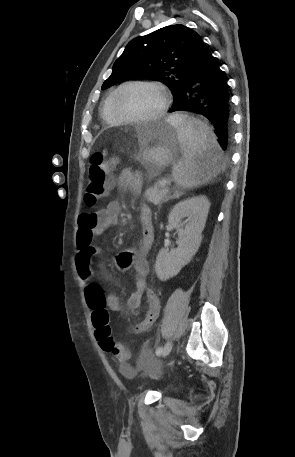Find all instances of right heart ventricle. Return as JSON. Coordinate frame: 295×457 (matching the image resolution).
<instances>
[{
	"mask_svg": "<svg viewBox=\"0 0 295 457\" xmlns=\"http://www.w3.org/2000/svg\"><path fill=\"white\" fill-rule=\"evenodd\" d=\"M114 91H112L104 100L102 108H101V115L102 118L111 125H118L122 123L123 121L119 119L112 110V97H113Z\"/></svg>",
	"mask_w": 295,
	"mask_h": 457,
	"instance_id": "obj_1",
	"label": "right heart ventricle"
}]
</instances>
